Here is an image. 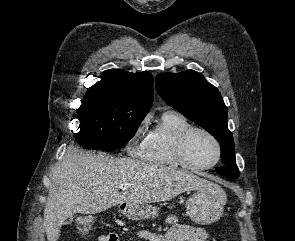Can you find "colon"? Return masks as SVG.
I'll use <instances>...</instances> for the list:
<instances>
[{
	"label": "colon",
	"instance_id": "obj_1",
	"mask_svg": "<svg viewBox=\"0 0 295 241\" xmlns=\"http://www.w3.org/2000/svg\"><path fill=\"white\" fill-rule=\"evenodd\" d=\"M87 226L91 227L93 225V220L92 219H87Z\"/></svg>",
	"mask_w": 295,
	"mask_h": 241
}]
</instances>
